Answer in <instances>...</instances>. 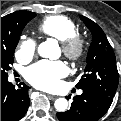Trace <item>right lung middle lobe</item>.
Instances as JSON below:
<instances>
[{"label": "right lung middle lobe", "instance_id": "1", "mask_svg": "<svg viewBox=\"0 0 121 121\" xmlns=\"http://www.w3.org/2000/svg\"><path fill=\"white\" fill-rule=\"evenodd\" d=\"M36 16L31 12L20 20L1 28V78H7V71L11 69L13 55L18 44L20 34L25 25Z\"/></svg>", "mask_w": 121, "mask_h": 121}]
</instances>
